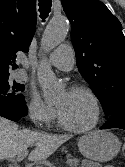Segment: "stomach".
I'll return each mask as SVG.
<instances>
[{
	"mask_svg": "<svg viewBox=\"0 0 125 167\" xmlns=\"http://www.w3.org/2000/svg\"><path fill=\"white\" fill-rule=\"evenodd\" d=\"M118 138L108 131H93L78 142L81 154L95 162H106L114 158L120 151Z\"/></svg>",
	"mask_w": 125,
	"mask_h": 167,
	"instance_id": "obj_1",
	"label": "stomach"
}]
</instances>
